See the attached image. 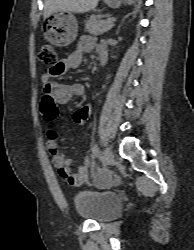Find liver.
Here are the masks:
<instances>
[{
  "instance_id": "liver-1",
  "label": "liver",
  "mask_w": 194,
  "mask_h": 250,
  "mask_svg": "<svg viewBox=\"0 0 194 250\" xmlns=\"http://www.w3.org/2000/svg\"><path fill=\"white\" fill-rule=\"evenodd\" d=\"M99 0H45L44 19L56 11L85 13L95 9Z\"/></svg>"
}]
</instances>
